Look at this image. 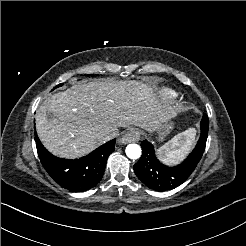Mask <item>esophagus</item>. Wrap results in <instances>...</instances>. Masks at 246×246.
Instances as JSON below:
<instances>
[{
	"mask_svg": "<svg viewBox=\"0 0 246 246\" xmlns=\"http://www.w3.org/2000/svg\"><path fill=\"white\" fill-rule=\"evenodd\" d=\"M140 140V133L137 129L131 128L124 136L120 139V144H126L130 142H138Z\"/></svg>",
	"mask_w": 246,
	"mask_h": 246,
	"instance_id": "34e87169",
	"label": "esophagus"
}]
</instances>
